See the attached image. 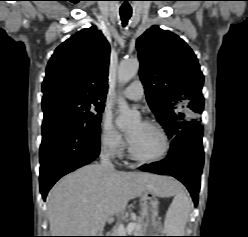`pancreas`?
Here are the masks:
<instances>
[{"label": "pancreas", "instance_id": "pancreas-1", "mask_svg": "<svg viewBox=\"0 0 248 237\" xmlns=\"http://www.w3.org/2000/svg\"><path fill=\"white\" fill-rule=\"evenodd\" d=\"M134 224H135V228L132 231L133 233L132 235L134 236L143 235V233H145L146 231V226H147V223L145 222V220L142 217H138L137 221ZM115 233H118L119 235H124V234H121V233H124L123 227L119 226L117 230L115 231Z\"/></svg>", "mask_w": 248, "mask_h": 237}]
</instances>
